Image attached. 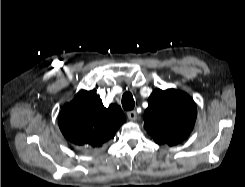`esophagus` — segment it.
<instances>
[{
    "label": "esophagus",
    "mask_w": 245,
    "mask_h": 187,
    "mask_svg": "<svg viewBox=\"0 0 245 187\" xmlns=\"http://www.w3.org/2000/svg\"><path fill=\"white\" fill-rule=\"evenodd\" d=\"M127 116L130 120H136L137 119V113L135 110L128 111Z\"/></svg>",
    "instance_id": "obj_1"
}]
</instances>
